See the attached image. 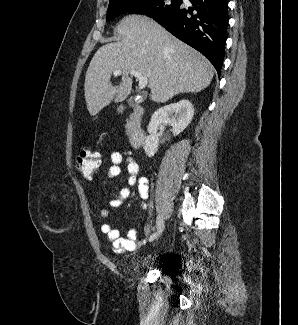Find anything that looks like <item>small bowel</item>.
Returning a JSON list of instances; mask_svg holds the SVG:
<instances>
[{"instance_id":"obj_1","label":"small bowel","mask_w":298,"mask_h":325,"mask_svg":"<svg viewBox=\"0 0 298 325\" xmlns=\"http://www.w3.org/2000/svg\"><path fill=\"white\" fill-rule=\"evenodd\" d=\"M110 160L111 166L107 172L109 179L115 178L122 173V165H124L125 171L128 174L126 186L113 196L110 202L111 207L115 209L122 208L124 200L130 196L131 188L135 187L142 199L141 207L147 211L148 205L145 201L149 199L150 195L149 184L146 177L139 175L138 163L132 157L123 155L118 151L111 153ZM99 214L102 218H107L109 216V210L107 208H101ZM101 232L107 237L111 244V250L114 253L134 251L145 243L144 239L138 238L135 229H129L127 236L121 237L118 228L106 223L101 226Z\"/></svg>"}]
</instances>
